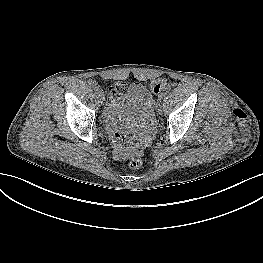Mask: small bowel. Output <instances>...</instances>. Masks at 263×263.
Instances as JSON below:
<instances>
[{
    "mask_svg": "<svg viewBox=\"0 0 263 263\" xmlns=\"http://www.w3.org/2000/svg\"><path fill=\"white\" fill-rule=\"evenodd\" d=\"M126 77H127L126 74H122V75L118 76V79H124V78H126ZM134 91H135L136 93H138L139 95H141L143 98L146 96V93H145L146 90H145V88H144L143 86H141V85L135 86V87H134ZM148 116H149V112H148V111L144 112V118L147 119ZM111 127H113V125H111ZM126 130H128V128H127ZM124 134H125V137H127L128 135H130V132H126V133H124ZM133 152H134L135 154H138V153H142V150H141L140 148H136Z\"/></svg>",
    "mask_w": 263,
    "mask_h": 263,
    "instance_id": "1",
    "label": "small bowel"
}]
</instances>
